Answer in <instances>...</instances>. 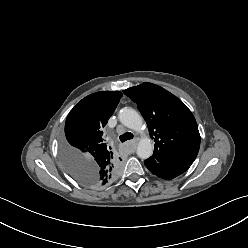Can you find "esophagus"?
Masks as SVG:
<instances>
[{
    "label": "esophagus",
    "mask_w": 248,
    "mask_h": 248,
    "mask_svg": "<svg viewBox=\"0 0 248 248\" xmlns=\"http://www.w3.org/2000/svg\"><path fill=\"white\" fill-rule=\"evenodd\" d=\"M138 141H139V138L136 137L135 139H133L132 141L129 142L131 151H134L136 149V145H137Z\"/></svg>",
    "instance_id": "1"
}]
</instances>
